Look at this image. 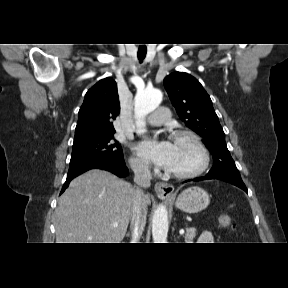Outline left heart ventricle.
Segmentation results:
<instances>
[{
    "instance_id": "obj_1",
    "label": "left heart ventricle",
    "mask_w": 288,
    "mask_h": 288,
    "mask_svg": "<svg viewBox=\"0 0 288 288\" xmlns=\"http://www.w3.org/2000/svg\"><path fill=\"white\" fill-rule=\"evenodd\" d=\"M174 152L170 164L171 171H187L195 168L200 163V155L197 149L188 141L174 139Z\"/></svg>"
}]
</instances>
